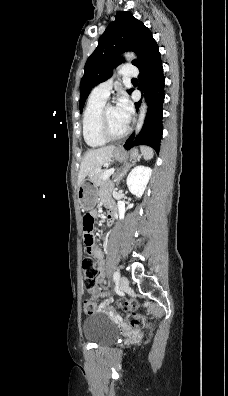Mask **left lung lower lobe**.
<instances>
[{
  "label": "left lung lower lobe",
  "mask_w": 228,
  "mask_h": 396,
  "mask_svg": "<svg viewBox=\"0 0 228 396\" xmlns=\"http://www.w3.org/2000/svg\"><path fill=\"white\" fill-rule=\"evenodd\" d=\"M138 68L140 70V74L138 76L140 85H143L142 87H139V89L144 88L147 92L145 96L148 109L141 132L135 138V141H133L134 135H132L126 141L124 147L126 149H130L132 145H148L158 153L163 133L162 106L164 102L165 84L160 53L155 40L151 44L144 62ZM135 106L138 110L140 102L135 103Z\"/></svg>",
  "instance_id": "0a47b994"
}]
</instances>
